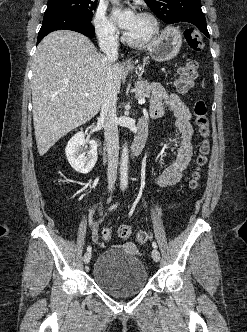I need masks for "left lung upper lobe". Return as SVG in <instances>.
Masks as SVG:
<instances>
[{
	"label": "left lung upper lobe",
	"instance_id": "1",
	"mask_svg": "<svg viewBox=\"0 0 247 332\" xmlns=\"http://www.w3.org/2000/svg\"><path fill=\"white\" fill-rule=\"evenodd\" d=\"M149 8L168 24L186 22L195 27L205 22L200 0H145Z\"/></svg>",
	"mask_w": 247,
	"mask_h": 332
}]
</instances>
